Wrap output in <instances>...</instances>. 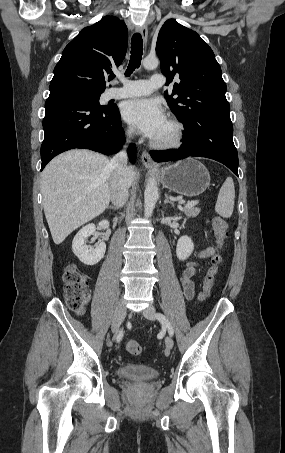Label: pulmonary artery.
<instances>
[{
    "label": "pulmonary artery",
    "instance_id": "obj_1",
    "mask_svg": "<svg viewBox=\"0 0 285 453\" xmlns=\"http://www.w3.org/2000/svg\"><path fill=\"white\" fill-rule=\"evenodd\" d=\"M165 82V77L160 73H155L149 80L138 79L129 80L121 78V87L112 88L107 92L110 99L133 98L150 94L154 89L161 87Z\"/></svg>",
    "mask_w": 285,
    "mask_h": 453
}]
</instances>
